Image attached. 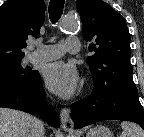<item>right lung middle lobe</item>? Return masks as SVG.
I'll list each match as a JSON object with an SVG mask.
<instances>
[{
  "label": "right lung middle lobe",
  "instance_id": "right-lung-middle-lobe-1",
  "mask_svg": "<svg viewBox=\"0 0 144 137\" xmlns=\"http://www.w3.org/2000/svg\"><path fill=\"white\" fill-rule=\"evenodd\" d=\"M40 75L36 70L21 66V60L14 61L0 67V85H17L29 87L34 84Z\"/></svg>",
  "mask_w": 144,
  "mask_h": 137
}]
</instances>
